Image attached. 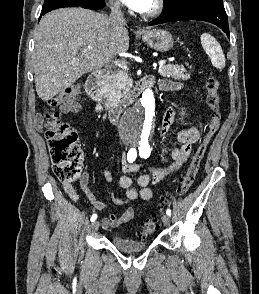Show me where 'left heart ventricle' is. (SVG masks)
Returning <instances> with one entry per match:
<instances>
[{
	"label": "left heart ventricle",
	"instance_id": "b2bd125f",
	"mask_svg": "<svg viewBox=\"0 0 259 294\" xmlns=\"http://www.w3.org/2000/svg\"><path fill=\"white\" fill-rule=\"evenodd\" d=\"M153 6H154V0H150L148 2V5L145 7V9L142 12H147V11L151 10L153 8Z\"/></svg>",
	"mask_w": 259,
	"mask_h": 294
}]
</instances>
